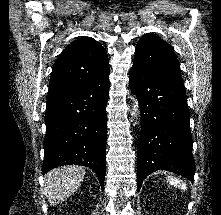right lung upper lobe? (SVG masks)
<instances>
[{
    "instance_id": "obj_1",
    "label": "right lung upper lobe",
    "mask_w": 221,
    "mask_h": 215,
    "mask_svg": "<svg viewBox=\"0 0 221 215\" xmlns=\"http://www.w3.org/2000/svg\"><path fill=\"white\" fill-rule=\"evenodd\" d=\"M110 71L107 53L91 37H82L61 53L54 64L48 100L71 93Z\"/></svg>"
}]
</instances>
